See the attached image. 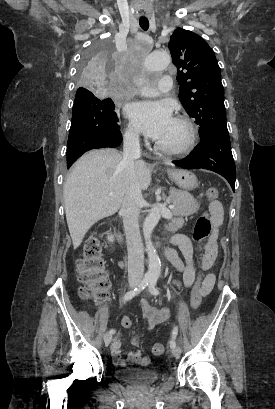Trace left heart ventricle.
Listing matches in <instances>:
<instances>
[{"label": "left heart ventricle", "instance_id": "1", "mask_svg": "<svg viewBox=\"0 0 275 409\" xmlns=\"http://www.w3.org/2000/svg\"><path fill=\"white\" fill-rule=\"evenodd\" d=\"M185 137V129L183 126L172 120L168 127L154 141L166 145L175 146L179 144Z\"/></svg>", "mask_w": 275, "mask_h": 409}]
</instances>
